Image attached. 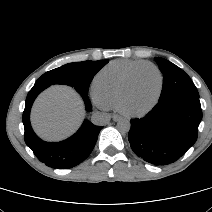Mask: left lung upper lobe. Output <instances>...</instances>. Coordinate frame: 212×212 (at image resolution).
<instances>
[{"label": "left lung upper lobe", "mask_w": 212, "mask_h": 212, "mask_svg": "<svg viewBox=\"0 0 212 212\" xmlns=\"http://www.w3.org/2000/svg\"><path fill=\"white\" fill-rule=\"evenodd\" d=\"M163 74V87L159 100L175 95H190L199 98V93L190 77L170 61L155 57Z\"/></svg>", "instance_id": "1"}]
</instances>
